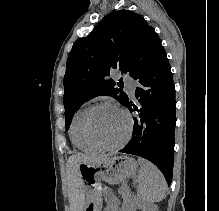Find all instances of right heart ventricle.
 <instances>
[{"label": "right heart ventricle", "mask_w": 219, "mask_h": 211, "mask_svg": "<svg viewBox=\"0 0 219 211\" xmlns=\"http://www.w3.org/2000/svg\"><path fill=\"white\" fill-rule=\"evenodd\" d=\"M88 107L84 106L75 111L70 124V137L72 143L80 150L88 153H95L99 148L91 144L83 132V118Z\"/></svg>", "instance_id": "obj_1"}]
</instances>
